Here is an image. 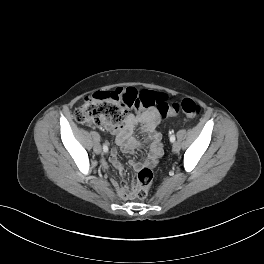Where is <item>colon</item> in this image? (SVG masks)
<instances>
[{"instance_id":"colon-1","label":"colon","mask_w":264,"mask_h":264,"mask_svg":"<svg viewBox=\"0 0 264 264\" xmlns=\"http://www.w3.org/2000/svg\"><path fill=\"white\" fill-rule=\"evenodd\" d=\"M142 108L156 109L161 118L182 112L187 118L194 119L200 113V106L190 98L170 105L167 95L163 92L129 87L93 94L76 108L74 117L79 123L90 127L115 128L129 110ZM152 181V170L147 167L142 168L133 179L130 195L140 200L145 199Z\"/></svg>"}]
</instances>
